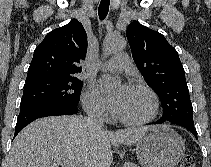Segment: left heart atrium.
<instances>
[{
	"label": "left heart atrium",
	"instance_id": "left-heart-atrium-1",
	"mask_svg": "<svg viewBox=\"0 0 211 167\" xmlns=\"http://www.w3.org/2000/svg\"><path fill=\"white\" fill-rule=\"evenodd\" d=\"M96 89L107 100L110 108L118 113L130 87L126 84L113 87L111 79L104 77L97 82Z\"/></svg>",
	"mask_w": 211,
	"mask_h": 167
}]
</instances>
